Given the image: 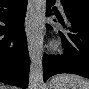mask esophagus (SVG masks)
Listing matches in <instances>:
<instances>
[{"label": "esophagus", "instance_id": "34e87169", "mask_svg": "<svg viewBox=\"0 0 89 89\" xmlns=\"http://www.w3.org/2000/svg\"><path fill=\"white\" fill-rule=\"evenodd\" d=\"M25 25H26L28 51L30 57L32 58L34 52L35 37H34V28H33V6L31 0L28 1Z\"/></svg>", "mask_w": 89, "mask_h": 89}]
</instances>
